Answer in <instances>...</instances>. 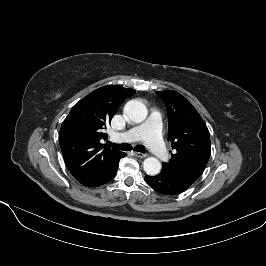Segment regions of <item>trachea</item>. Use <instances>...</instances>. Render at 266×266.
<instances>
[{
  "label": "trachea",
  "instance_id": "obj_1",
  "mask_svg": "<svg viewBox=\"0 0 266 266\" xmlns=\"http://www.w3.org/2000/svg\"><path fill=\"white\" fill-rule=\"evenodd\" d=\"M116 149L123 150V151H129L131 150V146L129 144H112ZM134 150L141 153H146L145 148L142 145H137L134 147Z\"/></svg>",
  "mask_w": 266,
  "mask_h": 266
}]
</instances>
